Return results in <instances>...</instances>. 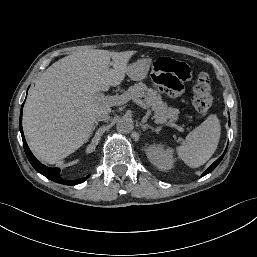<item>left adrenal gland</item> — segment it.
<instances>
[{
	"mask_svg": "<svg viewBox=\"0 0 257 257\" xmlns=\"http://www.w3.org/2000/svg\"><path fill=\"white\" fill-rule=\"evenodd\" d=\"M141 128L143 129V131L147 130V129H151L152 131H159L157 128L154 129L152 126H150L149 124L145 123V120H142L140 123Z\"/></svg>",
	"mask_w": 257,
	"mask_h": 257,
	"instance_id": "left-adrenal-gland-1",
	"label": "left adrenal gland"
}]
</instances>
